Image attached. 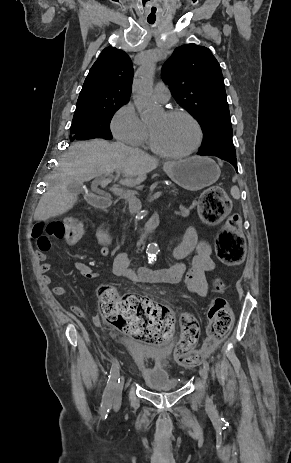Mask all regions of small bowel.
Here are the masks:
<instances>
[{"mask_svg":"<svg viewBox=\"0 0 291 463\" xmlns=\"http://www.w3.org/2000/svg\"><path fill=\"white\" fill-rule=\"evenodd\" d=\"M37 242V258L41 262L40 272L44 284H50L52 278L48 275L51 263L47 262V254L51 249L49 237L44 235L33 236ZM96 242L100 245V252L104 257L110 255L108 248L111 236L104 228H98L95 232ZM77 240H67L72 245ZM211 246L206 241H200L196 229L188 226L183 232L182 241L173 250V256L179 260L174 266L161 270H147L145 267L137 269L129 267L127 254L119 253L115 256L113 273L116 277L125 278L134 282L178 284L183 283L186 289L194 295L205 297L209 293V283L206 274L215 269V263L211 257ZM74 266L78 273L88 279L96 278V274L87 264L76 261ZM53 294L66 297L71 302V311L77 316H83V308L72 298L70 292L63 286H54ZM94 325H100L97 316L93 318Z\"/></svg>","mask_w":291,"mask_h":463,"instance_id":"1","label":"small bowel"}]
</instances>
